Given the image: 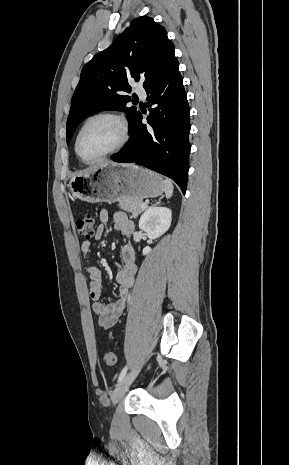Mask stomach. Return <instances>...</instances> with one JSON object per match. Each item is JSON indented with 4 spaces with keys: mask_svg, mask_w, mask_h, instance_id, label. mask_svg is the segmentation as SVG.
<instances>
[{
    "mask_svg": "<svg viewBox=\"0 0 289 465\" xmlns=\"http://www.w3.org/2000/svg\"><path fill=\"white\" fill-rule=\"evenodd\" d=\"M72 196L89 203H114L125 198L157 197L164 191L162 177L135 164L106 163L72 177Z\"/></svg>",
    "mask_w": 289,
    "mask_h": 465,
    "instance_id": "0dacf381",
    "label": "stomach"
}]
</instances>
